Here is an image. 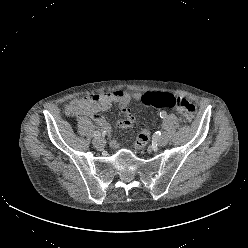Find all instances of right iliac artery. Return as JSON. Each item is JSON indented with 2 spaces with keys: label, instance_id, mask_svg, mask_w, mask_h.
Wrapping results in <instances>:
<instances>
[{
  "label": "right iliac artery",
  "instance_id": "right-iliac-artery-1",
  "mask_svg": "<svg viewBox=\"0 0 248 248\" xmlns=\"http://www.w3.org/2000/svg\"><path fill=\"white\" fill-rule=\"evenodd\" d=\"M93 135H94L95 138H98V137L101 136V134H100L99 131H94V134Z\"/></svg>",
  "mask_w": 248,
  "mask_h": 248
}]
</instances>
